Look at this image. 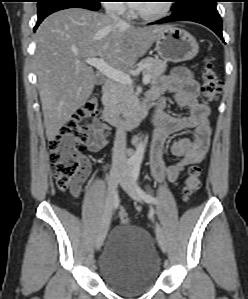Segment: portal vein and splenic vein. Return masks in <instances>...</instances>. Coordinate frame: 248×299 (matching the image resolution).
<instances>
[{
  "mask_svg": "<svg viewBox=\"0 0 248 299\" xmlns=\"http://www.w3.org/2000/svg\"><path fill=\"white\" fill-rule=\"evenodd\" d=\"M85 62L88 65L95 67L99 72H101L104 76H106L111 80H114L122 84H128V85L133 84V80L127 73L113 68L108 63H106L105 60L102 58H87L85 59ZM149 82H150V77L148 75H144L143 83L147 84Z\"/></svg>",
  "mask_w": 248,
  "mask_h": 299,
  "instance_id": "obj_1",
  "label": "portal vein and splenic vein"
}]
</instances>
